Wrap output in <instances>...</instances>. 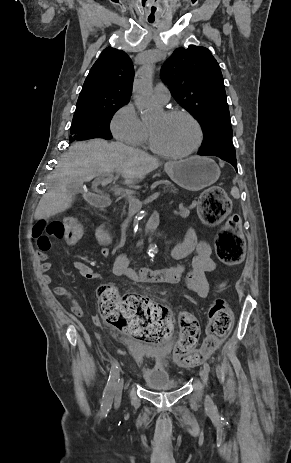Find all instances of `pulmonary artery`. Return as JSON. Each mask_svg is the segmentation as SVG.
I'll return each mask as SVG.
<instances>
[{"instance_id": "e3ab8cb5", "label": "pulmonary artery", "mask_w": 291, "mask_h": 463, "mask_svg": "<svg viewBox=\"0 0 291 463\" xmlns=\"http://www.w3.org/2000/svg\"><path fill=\"white\" fill-rule=\"evenodd\" d=\"M153 95L155 100L162 104L167 103L170 99V91L168 87L162 82H159L155 85Z\"/></svg>"}]
</instances>
